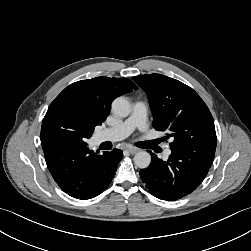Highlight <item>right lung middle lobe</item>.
<instances>
[{"instance_id": "1", "label": "right lung middle lobe", "mask_w": 251, "mask_h": 251, "mask_svg": "<svg viewBox=\"0 0 251 251\" xmlns=\"http://www.w3.org/2000/svg\"><path fill=\"white\" fill-rule=\"evenodd\" d=\"M95 126L72 107L60 105L48 109L41 127V143L67 142L86 146Z\"/></svg>"}]
</instances>
